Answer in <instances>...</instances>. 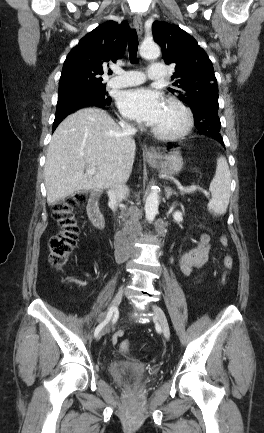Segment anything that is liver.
<instances>
[{
  "mask_svg": "<svg viewBox=\"0 0 264 433\" xmlns=\"http://www.w3.org/2000/svg\"><path fill=\"white\" fill-rule=\"evenodd\" d=\"M136 145L105 111L81 109L55 130L44 166L47 203L83 191H101L114 180H128ZM85 168L94 174H84Z\"/></svg>",
  "mask_w": 264,
  "mask_h": 433,
  "instance_id": "1",
  "label": "liver"
}]
</instances>
